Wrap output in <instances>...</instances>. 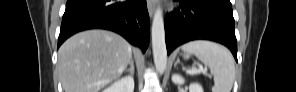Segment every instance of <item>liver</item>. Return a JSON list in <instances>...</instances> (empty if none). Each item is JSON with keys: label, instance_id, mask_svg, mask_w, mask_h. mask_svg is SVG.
<instances>
[{"label": "liver", "instance_id": "obj_1", "mask_svg": "<svg viewBox=\"0 0 296 92\" xmlns=\"http://www.w3.org/2000/svg\"><path fill=\"white\" fill-rule=\"evenodd\" d=\"M131 58V45L120 35L88 30L61 45L57 69L65 92H99L123 73Z\"/></svg>", "mask_w": 296, "mask_h": 92}]
</instances>
